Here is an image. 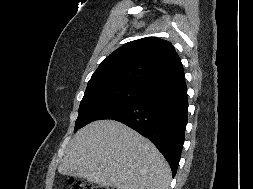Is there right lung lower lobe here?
Returning a JSON list of instances; mask_svg holds the SVG:
<instances>
[{"label": "right lung lower lobe", "instance_id": "right-lung-lower-lobe-1", "mask_svg": "<svg viewBox=\"0 0 253 189\" xmlns=\"http://www.w3.org/2000/svg\"><path fill=\"white\" fill-rule=\"evenodd\" d=\"M185 79L157 86L135 103L103 119L119 121L146 136L163 154L175 176L187 125Z\"/></svg>", "mask_w": 253, "mask_h": 189}]
</instances>
